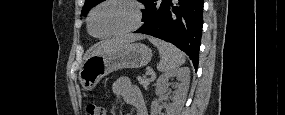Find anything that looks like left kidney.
I'll use <instances>...</instances> for the list:
<instances>
[{
  "label": "left kidney",
  "mask_w": 285,
  "mask_h": 115,
  "mask_svg": "<svg viewBox=\"0 0 285 115\" xmlns=\"http://www.w3.org/2000/svg\"><path fill=\"white\" fill-rule=\"evenodd\" d=\"M172 78H177L180 83L176 85L177 90L174 91V97L172 102L166 106L165 115H179L180 110L182 109L190 82V70L187 67H182L175 69L170 72L162 74L156 82V95H161L168 90L169 80ZM159 114V102L157 100L151 103V115Z\"/></svg>",
  "instance_id": "left-kidney-1"
}]
</instances>
